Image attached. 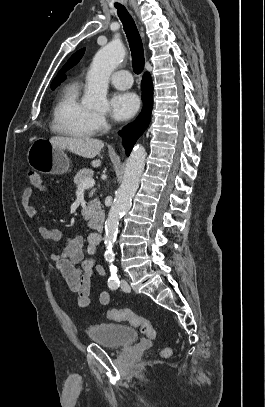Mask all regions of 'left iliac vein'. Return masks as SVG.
<instances>
[{"label":"left iliac vein","instance_id":"1","mask_svg":"<svg viewBox=\"0 0 265 407\" xmlns=\"http://www.w3.org/2000/svg\"><path fill=\"white\" fill-rule=\"evenodd\" d=\"M121 289L125 292H129L130 291V286L128 284V282L126 280H122L121 281Z\"/></svg>","mask_w":265,"mask_h":407}]
</instances>
